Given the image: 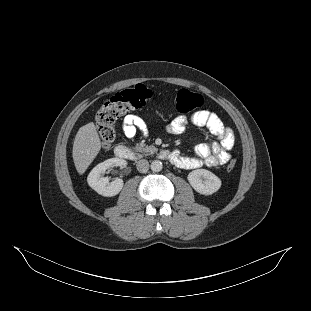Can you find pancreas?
Wrapping results in <instances>:
<instances>
[{
  "instance_id": "1",
  "label": "pancreas",
  "mask_w": 311,
  "mask_h": 311,
  "mask_svg": "<svg viewBox=\"0 0 311 311\" xmlns=\"http://www.w3.org/2000/svg\"><path fill=\"white\" fill-rule=\"evenodd\" d=\"M136 148L139 152L144 154H152L157 151V148L153 145L146 146L144 143L136 144Z\"/></svg>"
}]
</instances>
